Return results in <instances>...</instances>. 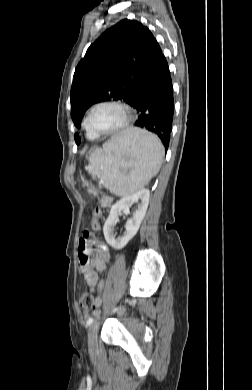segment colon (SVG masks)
I'll use <instances>...</instances> for the list:
<instances>
[{"label":"colon","instance_id":"obj_1","mask_svg":"<svg viewBox=\"0 0 252 390\" xmlns=\"http://www.w3.org/2000/svg\"><path fill=\"white\" fill-rule=\"evenodd\" d=\"M101 217H102L101 210L99 208H96L94 210L93 219H92V228L95 231H98L100 229L99 220L101 219ZM87 260H88V256L83 255L81 258V274L86 280L88 279V277L90 275V272L85 267ZM79 303L83 309L89 310V309L94 308L95 298L90 292L85 291V292L81 293V295L79 297Z\"/></svg>","mask_w":252,"mask_h":390}]
</instances>
